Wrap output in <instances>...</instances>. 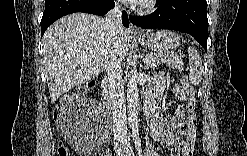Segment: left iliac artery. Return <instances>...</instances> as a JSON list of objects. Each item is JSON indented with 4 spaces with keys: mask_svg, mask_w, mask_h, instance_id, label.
I'll use <instances>...</instances> for the list:
<instances>
[{
    "mask_svg": "<svg viewBox=\"0 0 247 156\" xmlns=\"http://www.w3.org/2000/svg\"><path fill=\"white\" fill-rule=\"evenodd\" d=\"M134 131L136 132V130H134ZM135 144H136V148H137L138 154L141 156L142 155V150H141V144H140L139 138L135 139Z\"/></svg>",
    "mask_w": 247,
    "mask_h": 156,
    "instance_id": "1",
    "label": "left iliac artery"
}]
</instances>
